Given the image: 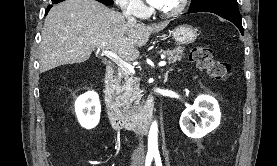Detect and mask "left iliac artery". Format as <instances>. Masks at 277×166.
<instances>
[{"instance_id":"44dca946","label":"left iliac artery","mask_w":277,"mask_h":166,"mask_svg":"<svg viewBox=\"0 0 277 166\" xmlns=\"http://www.w3.org/2000/svg\"><path fill=\"white\" fill-rule=\"evenodd\" d=\"M154 158H155V165L156 166H162V162H161V158H160L159 153H155Z\"/></svg>"}]
</instances>
